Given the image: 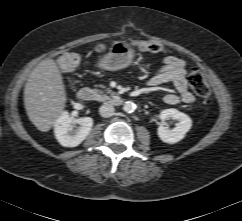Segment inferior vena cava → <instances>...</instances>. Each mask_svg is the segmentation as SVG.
<instances>
[{
    "label": "inferior vena cava",
    "mask_w": 242,
    "mask_h": 221,
    "mask_svg": "<svg viewBox=\"0 0 242 221\" xmlns=\"http://www.w3.org/2000/svg\"><path fill=\"white\" fill-rule=\"evenodd\" d=\"M114 107L111 104L105 103L99 108V113L102 117L108 118L114 114Z\"/></svg>",
    "instance_id": "602c4592"
}]
</instances>
